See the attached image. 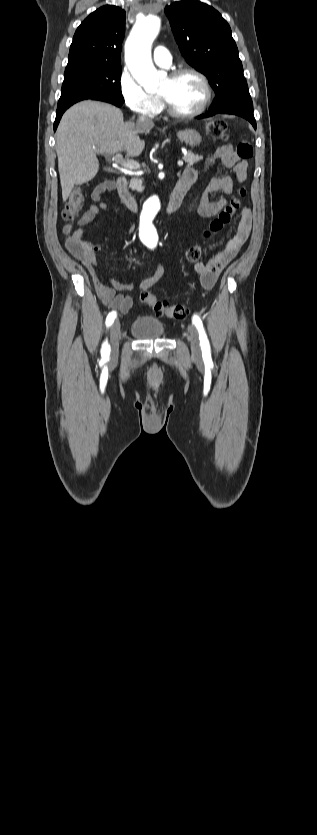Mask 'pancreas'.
I'll return each mask as SVG.
<instances>
[{
    "instance_id": "cf45deb5",
    "label": "pancreas",
    "mask_w": 317,
    "mask_h": 835,
    "mask_svg": "<svg viewBox=\"0 0 317 835\" xmlns=\"http://www.w3.org/2000/svg\"><path fill=\"white\" fill-rule=\"evenodd\" d=\"M201 155L194 154L192 152H188L186 155L183 156V160L187 162L188 166H193L195 163L202 160ZM130 187L133 190L142 191V180L141 179H132Z\"/></svg>"
}]
</instances>
